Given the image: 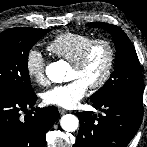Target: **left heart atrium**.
Listing matches in <instances>:
<instances>
[{
	"mask_svg": "<svg viewBox=\"0 0 147 147\" xmlns=\"http://www.w3.org/2000/svg\"><path fill=\"white\" fill-rule=\"evenodd\" d=\"M88 88L89 85L85 81L75 79L49 89L43 94V100L48 105L71 109L86 96Z\"/></svg>",
	"mask_w": 147,
	"mask_h": 147,
	"instance_id": "obj_1",
	"label": "left heart atrium"
}]
</instances>
